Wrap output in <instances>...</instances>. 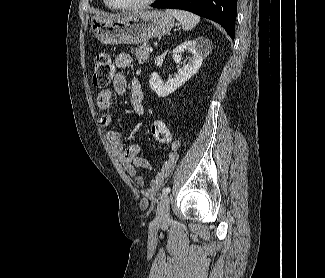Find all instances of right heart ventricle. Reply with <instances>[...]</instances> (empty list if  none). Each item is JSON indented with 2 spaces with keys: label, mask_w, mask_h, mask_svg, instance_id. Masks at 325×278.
<instances>
[{
  "label": "right heart ventricle",
  "mask_w": 325,
  "mask_h": 278,
  "mask_svg": "<svg viewBox=\"0 0 325 278\" xmlns=\"http://www.w3.org/2000/svg\"><path fill=\"white\" fill-rule=\"evenodd\" d=\"M104 1V5L108 8V9H112L109 4L107 3V0H103Z\"/></svg>",
  "instance_id": "e07e8e85"
}]
</instances>
